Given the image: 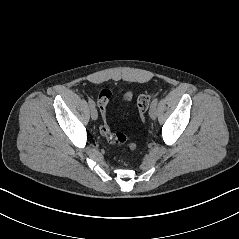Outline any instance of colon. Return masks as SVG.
<instances>
[{"label":"colon","instance_id":"5ec220e1","mask_svg":"<svg viewBox=\"0 0 239 239\" xmlns=\"http://www.w3.org/2000/svg\"><path fill=\"white\" fill-rule=\"evenodd\" d=\"M111 96L112 91L110 89H103L97 98V105L102 119V124L100 127L101 134L105 137V139L109 143L117 145H126L131 151H134L136 149V145L132 142H129L127 137L123 133L112 132L106 123V113H107L106 107ZM152 96L153 93L143 94L139 96L137 100L138 111L143 120L145 119V115L146 112L148 111Z\"/></svg>","mask_w":239,"mask_h":239}]
</instances>
